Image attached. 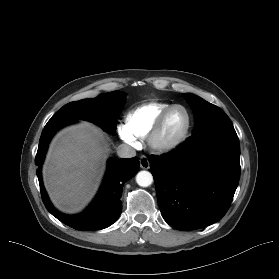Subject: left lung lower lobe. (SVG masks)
I'll use <instances>...</instances> for the list:
<instances>
[{"mask_svg":"<svg viewBox=\"0 0 279 279\" xmlns=\"http://www.w3.org/2000/svg\"><path fill=\"white\" fill-rule=\"evenodd\" d=\"M161 214L172 227L189 231L219 221L240 177V144L234 129L192 134L177 149L149 157Z\"/></svg>","mask_w":279,"mask_h":279,"instance_id":"1","label":"left lung lower lobe"}]
</instances>
